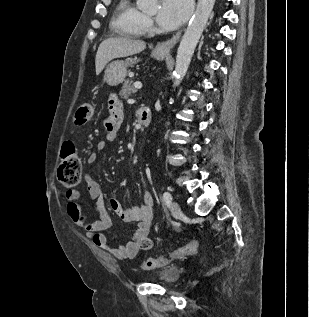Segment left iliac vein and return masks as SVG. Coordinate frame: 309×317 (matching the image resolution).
<instances>
[{"mask_svg":"<svg viewBox=\"0 0 309 317\" xmlns=\"http://www.w3.org/2000/svg\"><path fill=\"white\" fill-rule=\"evenodd\" d=\"M170 210L173 216H178L181 214V209L179 204L176 201H172L170 204Z\"/></svg>","mask_w":309,"mask_h":317,"instance_id":"obj_1","label":"left iliac vein"}]
</instances>
